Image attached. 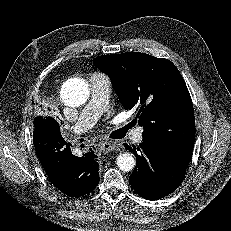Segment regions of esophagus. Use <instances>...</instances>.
Masks as SVG:
<instances>
[{"instance_id": "1", "label": "esophagus", "mask_w": 231, "mask_h": 231, "mask_svg": "<svg viewBox=\"0 0 231 231\" xmlns=\"http://www.w3.org/2000/svg\"><path fill=\"white\" fill-rule=\"evenodd\" d=\"M116 144L113 141H102L100 143V149L102 150V152H110L115 150L116 148Z\"/></svg>"}]
</instances>
